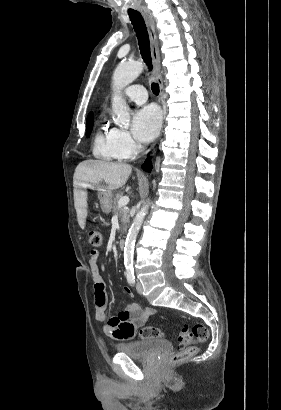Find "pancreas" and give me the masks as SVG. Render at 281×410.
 Segmentation results:
<instances>
[{
	"label": "pancreas",
	"instance_id": "1",
	"mask_svg": "<svg viewBox=\"0 0 281 410\" xmlns=\"http://www.w3.org/2000/svg\"><path fill=\"white\" fill-rule=\"evenodd\" d=\"M123 197V193L122 192H118L114 197H113V212H118L119 218H120V222H121V227L123 228V230L126 229L127 224L130 221V215H129V211L126 207H119L118 206V201L119 199Z\"/></svg>",
	"mask_w": 281,
	"mask_h": 410
}]
</instances>
